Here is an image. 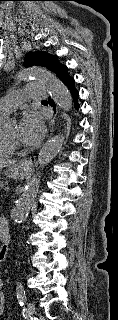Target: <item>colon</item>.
Returning <instances> with one entry per match:
<instances>
[{
	"label": "colon",
	"instance_id": "1",
	"mask_svg": "<svg viewBox=\"0 0 118 320\" xmlns=\"http://www.w3.org/2000/svg\"><path fill=\"white\" fill-rule=\"evenodd\" d=\"M4 259V252L0 251V262Z\"/></svg>",
	"mask_w": 118,
	"mask_h": 320
}]
</instances>
